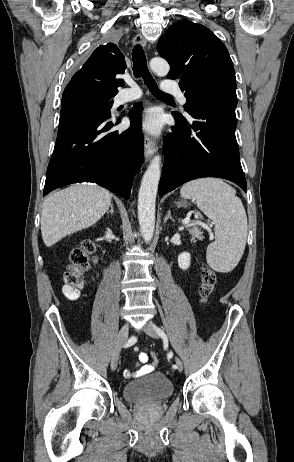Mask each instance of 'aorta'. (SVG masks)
Masks as SVG:
<instances>
[{
	"instance_id": "1",
	"label": "aorta",
	"mask_w": 294,
	"mask_h": 462,
	"mask_svg": "<svg viewBox=\"0 0 294 462\" xmlns=\"http://www.w3.org/2000/svg\"><path fill=\"white\" fill-rule=\"evenodd\" d=\"M151 70L158 76H166L169 64L162 58L150 61ZM161 176V157L156 155L145 171L138 194V220L143 239L149 243L155 228V202Z\"/></svg>"
}]
</instances>
